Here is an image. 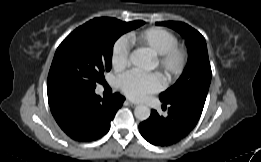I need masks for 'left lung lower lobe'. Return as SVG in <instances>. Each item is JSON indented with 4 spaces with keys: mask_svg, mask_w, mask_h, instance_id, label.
<instances>
[{
    "mask_svg": "<svg viewBox=\"0 0 261 162\" xmlns=\"http://www.w3.org/2000/svg\"><path fill=\"white\" fill-rule=\"evenodd\" d=\"M166 105H169L168 116H160L152 110L150 117L139 125L143 138L156 146L172 145L187 136L196 126L204 107L188 96L163 102V106Z\"/></svg>",
    "mask_w": 261,
    "mask_h": 162,
    "instance_id": "obj_1",
    "label": "left lung lower lobe"
}]
</instances>
